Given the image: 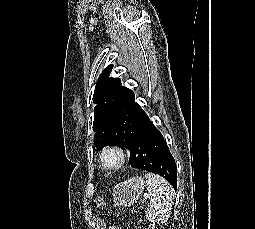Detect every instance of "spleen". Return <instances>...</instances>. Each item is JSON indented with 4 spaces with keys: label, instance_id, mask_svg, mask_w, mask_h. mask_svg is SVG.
<instances>
[{
    "label": "spleen",
    "instance_id": "obj_1",
    "mask_svg": "<svg viewBox=\"0 0 255 229\" xmlns=\"http://www.w3.org/2000/svg\"><path fill=\"white\" fill-rule=\"evenodd\" d=\"M145 178L150 198L146 218L151 222L163 223L169 218L174 190L164 178L157 174L148 172Z\"/></svg>",
    "mask_w": 255,
    "mask_h": 229
}]
</instances>
